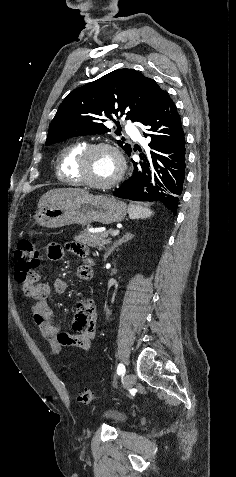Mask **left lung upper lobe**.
Returning a JSON list of instances; mask_svg holds the SVG:
<instances>
[{
    "instance_id": "1",
    "label": "left lung upper lobe",
    "mask_w": 236,
    "mask_h": 477,
    "mask_svg": "<svg viewBox=\"0 0 236 477\" xmlns=\"http://www.w3.org/2000/svg\"><path fill=\"white\" fill-rule=\"evenodd\" d=\"M162 89L156 82L133 69H118L73 90L60 104L53 118L46 145L68 138L103 134L111 130L104 126L108 119L125 117L145 125L154 114ZM115 134L120 135V125ZM118 145L130 155L129 144Z\"/></svg>"
}]
</instances>
